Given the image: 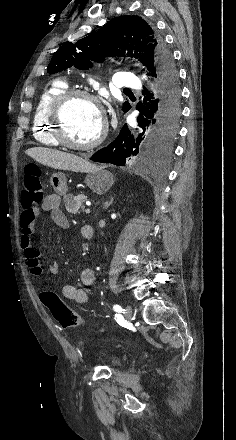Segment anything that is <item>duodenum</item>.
Wrapping results in <instances>:
<instances>
[{
  "mask_svg": "<svg viewBox=\"0 0 236 440\" xmlns=\"http://www.w3.org/2000/svg\"><path fill=\"white\" fill-rule=\"evenodd\" d=\"M85 230H86V233L88 234V236H92L94 233V228L90 225L85 226Z\"/></svg>",
  "mask_w": 236,
  "mask_h": 440,
  "instance_id": "1",
  "label": "duodenum"
}]
</instances>
